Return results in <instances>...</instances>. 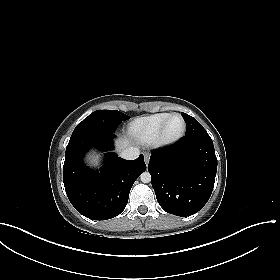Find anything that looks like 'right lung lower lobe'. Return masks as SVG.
<instances>
[{
	"instance_id": "1",
	"label": "right lung lower lobe",
	"mask_w": 280,
	"mask_h": 280,
	"mask_svg": "<svg viewBox=\"0 0 280 280\" xmlns=\"http://www.w3.org/2000/svg\"><path fill=\"white\" fill-rule=\"evenodd\" d=\"M113 133L87 134L70 138L66 147L63 182L74 208L92 220L111 219L125 209L135 180L146 170L143 155L129 161L115 153L105 154L99 170L87 168L84 155L92 148L110 151Z\"/></svg>"
}]
</instances>
